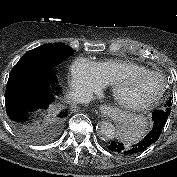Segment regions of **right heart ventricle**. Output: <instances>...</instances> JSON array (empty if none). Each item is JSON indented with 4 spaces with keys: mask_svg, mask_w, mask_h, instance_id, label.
Segmentation results:
<instances>
[{
    "mask_svg": "<svg viewBox=\"0 0 177 177\" xmlns=\"http://www.w3.org/2000/svg\"><path fill=\"white\" fill-rule=\"evenodd\" d=\"M94 65L107 85H112L119 76L125 73L148 70L136 62L121 59L102 60L95 62Z\"/></svg>",
    "mask_w": 177,
    "mask_h": 177,
    "instance_id": "right-heart-ventricle-1",
    "label": "right heart ventricle"
}]
</instances>
